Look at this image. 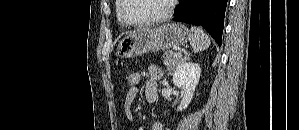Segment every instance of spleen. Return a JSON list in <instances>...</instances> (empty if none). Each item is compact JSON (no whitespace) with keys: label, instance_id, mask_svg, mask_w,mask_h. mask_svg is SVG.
<instances>
[{"label":"spleen","instance_id":"1","mask_svg":"<svg viewBox=\"0 0 299 130\" xmlns=\"http://www.w3.org/2000/svg\"><path fill=\"white\" fill-rule=\"evenodd\" d=\"M190 44L193 52L198 53L206 50L210 46V38L201 28L192 26L190 33Z\"/></svg>","mask_w":299,"mask_h":130}]
</instances>
